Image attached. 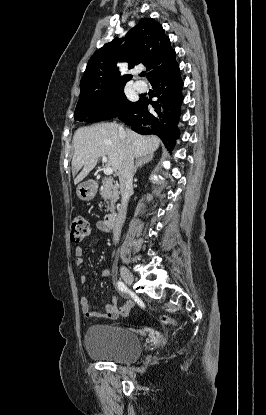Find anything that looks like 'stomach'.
<instances>
[{
    "mask_svg": "<svg viewBox=\"0 0 266 415\" xmlns=\"http://www.w3.org/2000/svg\"><path fill=\"white\" fill-rule=\"evenodd\" d=\"M97 192L96 185L91 181H86L78 185L76 193L80 200L90 201Z\"/></svg>",
    "mask_w": 266,
    "mask_h": 415,
    "instance_id": "0dacf381",
    "label": "stomach"
}]
</instances>
